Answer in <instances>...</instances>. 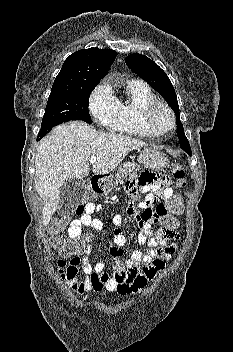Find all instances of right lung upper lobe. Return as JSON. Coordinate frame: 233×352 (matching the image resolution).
Listing matches in <instances>:
<instances>
[{
    "label": "right lung upper lobe",
    "mask_w": 233,
    "mask_h": 352,
    "mask_svg": "<svg viewBox=\"0 0 233 352\" xmlns=\"http://www.w3.org/2000/svg\"><path fill=\"white\" fill-rule=\"evenodd\" d=\"M116 52L111 49L89 48L68 56L57 75L52 90H74L97 85L104 78Z\"/></svg>",
    "instance_id": "obj_1"
}]
</instances>
